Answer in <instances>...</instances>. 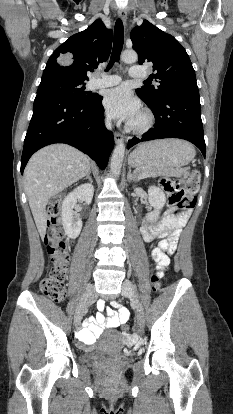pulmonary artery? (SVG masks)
<instances>
[{
  "label": "pulmonary artery",
  "mask_w": 233,
  "mask_h": 414,
  "mask_svg": "<svg viewBox=\"0 0 233 414\" xmlns=\"http://www.w3.org/2000/svg\"><path fill=\"white\" fill-rule=\"evenodd\" d=\"M129 76L135 79L145 78L147 77V73L142 68L134 66L130 69ZM120 81H121V78L118 75L100 74L99 78H96L91 81L90 87L92 89L110 87V86H115L119 84Z\"/></svg>",
  "instance_id": "1"
}]
</instances>
